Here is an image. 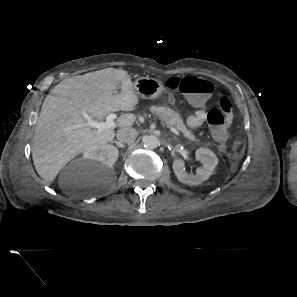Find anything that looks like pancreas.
<instances>
[{
	"mask_svg": "<svg viewBox=\"0 0 297 297\" xmlns=\"http://www.w3.org/2000/svg\"><path fill=\"white\" fill-rule=\"evenodd\" d=\"M150 110L152 113H155L162 121H165L170 126H174L189 141L191 142L199 141V139L196 138L190 130H188V128L184 124L183 119L181 118L178 112L174 111L169 107H164V106H152Z\"/></svg>",
	"mask_w": 297,
	"mask_h": 297,
	"instance_id": "pancreas-1",
	"label": "pancreas"
}]
</instances>
